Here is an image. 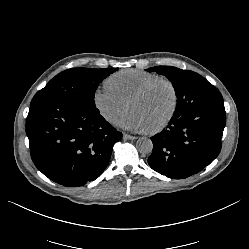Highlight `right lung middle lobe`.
<instances>
[{
	"instance_id": "1",
	"label": "right lung middle lobe",
	"mask_w": 249,
	"mask_h": 249,
	"mask_svg": "<svg viewBox=\"0 0 249 249\" xmlns=\"http://www.w3.org/2000/svg\"><path fill=\"white\" fill-rule=\"evenodd\" d=\"M117 69L72 68L65 70L38 91L30 105L47 101L69 100L87 107H96L94 95L99 83Z\"/></svg>"
}]
</instances>
